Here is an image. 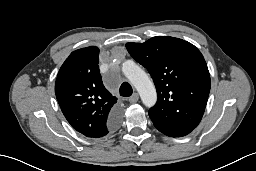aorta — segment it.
<instances>
[{
	"mask_svg": "<svg viewBox=\"0 0 256 171\" xmlns=\"http://www.w3.org/2000/svg\"><path fill=\"white\" fill-rule=\"evenodd\" d=\"M122 72L138 91L143 104L147 107H152L156 103L157 94L152 81L145 71L129 60L123 64Z\"/></svg>",
	"mask_w": 256,
	"mask_h": 171,
	"instance_id": "aorta-1",
	"label": "aorta"
}]
</instances>
